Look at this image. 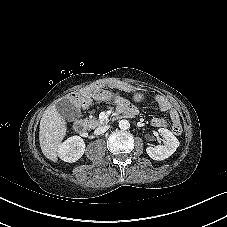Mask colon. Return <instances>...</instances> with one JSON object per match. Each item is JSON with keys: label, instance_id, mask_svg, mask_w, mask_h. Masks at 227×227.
<instances>
[{"label": "colon", "instance_id": "1", "mask_svg": "<svg viewBox=\"0 0 227 227\" xmlns=\"http://www.w3.org/2000/svg\"><path fill=\"white\" fill-rule=\"evenodd\" d=\"M106 86H107V87H111L110 84H107ZM126 89H127V90H130L131 88H130L129 86H127ZM161 103H162V102H159V100L157 101V105L160 106ZM173 132H174L175 134H179V133L181 132V127H180L179 124H175V125L173 126Z\"/></svg>", "mask_w": 227, "mask_h": 227}]
</instances>
